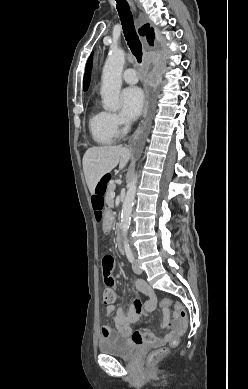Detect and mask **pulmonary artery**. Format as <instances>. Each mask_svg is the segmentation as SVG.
I'll return each instance as SVG.
<instances>
[{"instance_id": "pulmonary-artery-1", "label": "pulmonary artery", "mask_w": 248, "mask_h": 389, "mask_svg": "<svg viewBox=\"0 0 248 389\" xmlns=\"http://www.w3.org/2000/svg\"><path fill=\"white\" fill-rule=\"evenodd\" d=\"M123 80L129 84H134L138 81V75L136 73V70L133 68L126 69L123 72Z\"/></svg>"}]
</instances>
